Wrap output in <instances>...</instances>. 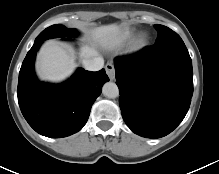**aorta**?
<instances>
[{"instance_id":"obj_1","label":"aorta","mask_w":219,"mask_h":174,"mask_svg":"<svg viewBox=\"0 0 219 174\" xmlns=\"http://www.w3.org/2000/svg\"><path fill=\"white\" fill-rule=\"evenodd\" d=\"M102 93L108 98H116L119 96V89L115 83L107 82L103 85Z\"/></svg>"}]
</instances>
